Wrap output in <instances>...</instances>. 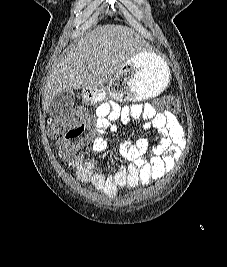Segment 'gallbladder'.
Masks as SVG:
<instances>
[{
  "instance_id": "gallbladder-1",
  "label": "gallbladder",
  "mask_w": 227,
  "mask_h": 267,
  "mask_svg": "<svg viewBox=\"0 0 227 267\" xmlns=\"http://www.w3.org/2000/svg\"><path fill=\"white\" fill-rule=\"evenodd\" d=\"M75 103V94L72 90H66L57 94L51 101L48 113L58 117L67 113Z\"/></svg>"
}]
</instances>
